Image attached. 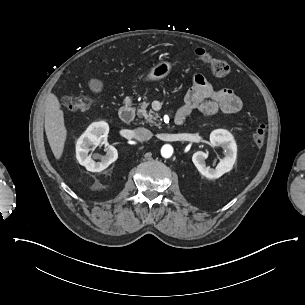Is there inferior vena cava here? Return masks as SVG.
Masks as SVG:
<instances>
[{
    "label": "inferior vena cava",
    "mask_w": 305,
    "mask_h": 305,
    "mask_svg": "<svg viewBox=\"0 0 305 305\" xmlns=\"http://www.w3.org/2000/svg\"><path fill=\"white\" fill-rule=\"evenodd\" d=\"M133 134L135 139H137L138 141H147L152 137V132L143 127L136 128L133 131Z\"/></svg>",
    "instance_id": "obj_1"
}]
</instances>
